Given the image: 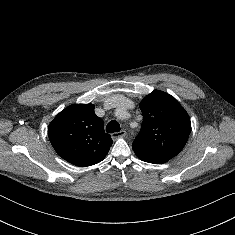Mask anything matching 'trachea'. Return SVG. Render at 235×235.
<instances>
[{
  "label": "trachea",
  "mask_w": 235,
  "mask_h": 235,
  "mask_svg": "<svg viewBox=\"0 0 235 235\" xmlns=\"http://www.w3.org/2000/svg\"><path fill=\"white\" fill-rule=\"evenodd\" d=\"M119 131H120V124L115 120L110 121L106 126V132L108 133H114Z\"/></svg>",
  "instance_id": "1"
}]
</instances>
